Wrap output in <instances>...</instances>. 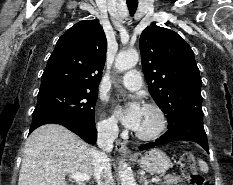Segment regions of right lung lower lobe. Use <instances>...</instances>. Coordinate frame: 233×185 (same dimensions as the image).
Wrapping results in <instances>:
<instances>
[{"label":"right lung lower lobe","mask_w":233,"mask_h":185,"mask_svg":"<svg viewBox=\"0 0 233 185\" xmlns=\"http://www.w3.org/2000/svg\"><path fill=\"white\" fill-rule=\"evenodd\" d=\"M48 123L63 125L78 136H80L87 143H96L97 131L95 128V124H88L84 121L67 116L40 115L33 117L30 133L37 127Z\"/></svg>","instance_id":"obj_1"}]
</instances>
